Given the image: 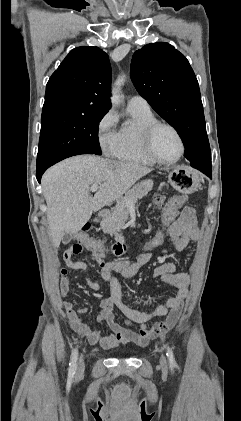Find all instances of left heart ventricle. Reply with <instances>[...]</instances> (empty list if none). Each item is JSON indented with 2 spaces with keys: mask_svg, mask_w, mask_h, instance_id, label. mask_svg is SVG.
<instances>
[{
  "mask_svg": "<svg viewBox=\"0 0 241 421\" xmlns=\"http://www.w3.org/2000/svg\"><path fill=\"white\" fill-rule=\"evenodd\" d=\"M153 148L159 158L169 161L178 156L180 143L170 129L160 128L154 136Z\"/></svg>",
  "mask_w": 241,
  "mask_h": 421,
  "instance_id": "obj_1",
  "label": "left heart ventricle"
}]
</instances>
